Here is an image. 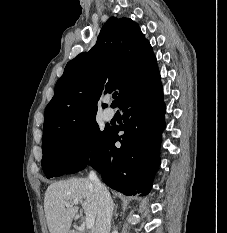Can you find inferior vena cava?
I'll return each mask as SVG.
<instances>
[{
	"instance_id": "1",
	"label": "inferior vena cava",
	"mask_w": 227,
	"mask_h": 233,
	"mask_svg": "<svg viewBox=\"0 0 227 233\" xmlns=\"http://www.w3.org/2000/svg\"><path fill=\"white\" fill-rule=\"evenodd\" d=\"M98 200V214L95 233H110L111 218L113 214V201L107 188L100 182L94 171L89 174Z\"/></svg>"
}]
</instances>
